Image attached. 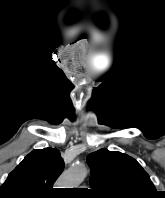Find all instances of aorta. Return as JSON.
Segmentation results:
<instances>
[{"label":"aorta","mask_w":165,"mask_h":198,"mask_svg":"<svg viewBox=\"0 0 165 198\" xmlns=\"http://www.w3.org/2000/svg\"><path fill=\"white\" fill-rule=\"evenodd\" d=\"M88 170L81 163H74L66 172L62 174L58 181L59 188H76L87 176Z\"/></svg>","instance_id":"aorta-1"}]
</instances>
